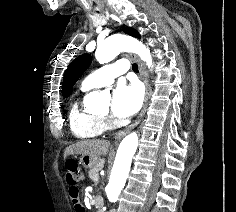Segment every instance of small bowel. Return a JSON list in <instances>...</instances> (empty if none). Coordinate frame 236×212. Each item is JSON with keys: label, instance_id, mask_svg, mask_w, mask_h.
<instances>
[{"label": "small bowel", "instance_id": "1", "mask_svg": "<svg viewBox=\"0 0 236 212\" xmlns=\"http://www.w3.org/2000/svg\"><path fill=\"white\" fill-rule=\"evenodd\" d=\"M67 194L69 195L68 201L72 202L73 206V212H88V206L87 205H79L81 201V191L79 190V187H77L76 180H73V182H70V187H68Z\"/></svg>", "mask_w": 236, "mask_h": 212}]
</instances>
